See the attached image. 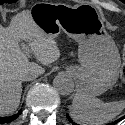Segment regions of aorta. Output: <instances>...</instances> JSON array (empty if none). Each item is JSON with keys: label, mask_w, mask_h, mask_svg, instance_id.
<instances>
[{"label": "aorta", "mask_w": 125, "mask_h": 125, "mask_svg": "<svg viewBox=\"0 0 125 125\" xmlns=\"http://www.w3.org/2000/svg\"><path fill=\"white\" fill-rule=\"evenodd\" d=\"M55 90L61 95H69L74 90V82L67 75H58L53 81Z\"/></svg>", "instance_id": "aorta-1"}]
</instances>
